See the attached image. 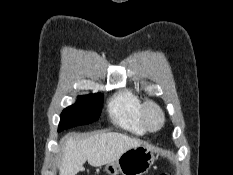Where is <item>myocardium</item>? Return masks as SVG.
Here are the masks:
<instances>
[{"mask_svg":"<svg viewBox=\"0 0 233 175\" xmlns=\"http://www.w3.org/2000/svg\"><path fill=\"white\" fill-rule=\"evenodd\" d=\"M151 111L156 112L160 118V124L157 127H153L150 124L149 115ZM141 118L147 130L151 132L159 131L165 124V115L162 108L158 103L151 100L143 103L141 108Z\"/></svg>","mask_w":233,"mask_h":175,"instance_id":"myocardium-1","label":"myocardium"}]
</instances>
